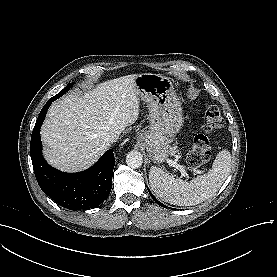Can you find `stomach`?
<instances>
[{
	"label": "stomach",
	"instance_id": "1",
	"mask_svg": "<svg viewBox=\"0 0 277 277\" xmlns=\"http://www.w3.org/2000/svg\"><path fill=\"white\" fill-rule=\"evenodd\" d=\"M138 96L149 108L150 129L139 136L151 160L164 162L173 138L183 126L182 109L171 80L160 74L142 73L135 79Z\"/></svg>",
	"mask_w": 277,
	"mask_h": 277
}]
</instances>
